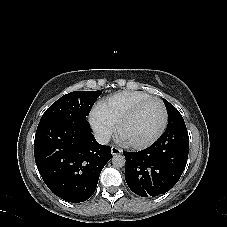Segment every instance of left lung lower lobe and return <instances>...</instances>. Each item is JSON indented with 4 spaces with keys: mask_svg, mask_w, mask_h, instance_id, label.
Segmentation results:
<instances>
[{
    "mask_svg": "<svg viewBox=\"0 0 227 227\" xmlns=\"http://www.w3.org/2000/svg\"><path fill=\"white\" fill-rule=\"evenodd\" d=\"M188 152L189 136L184 119L168 123L162 136L149 148L123 152L127 185L141 197L168 192L180 179Z\"/></svg>",
    "mask_w": 227,
    "mask_h": 227,
    "instance_id": "obj_1",
    "label": "left lung lower lobe"
}]
</instances>
